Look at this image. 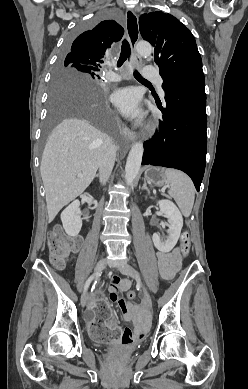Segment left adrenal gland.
<instances>
[{"instance_id": "left-adrenal-gland-1", "label": "left adrenal gland", "mask_w": 248, "mask_h": 389, "mask_svg": "<svg viewBox=\"0 0 248 389\" xmlns=\"http://www.w3.org/2000/svg\"><path fill=\"white\" fill-rule=\"evenodd\" d=\"M142 190H146L147 193H150V190H149V188L147 187V184H146V180H144V183H143V186H142Z\"/></svg>"}]
</instances>
